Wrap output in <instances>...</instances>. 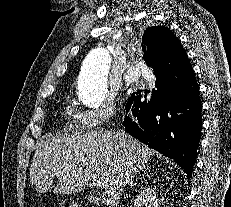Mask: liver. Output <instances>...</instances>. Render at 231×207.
I'll list each match as a JSON object with an SVG mask.
<instances>
[{
  "label": "liver",
  "mask_w": 231,
  "mask_h": 207,
  "mask_svg": "<svg viewBox=\"0 0 231 207\" xmlns=\"http://www.w3.org/2000/svg\"><path fill=\"white\" fill-rule=\"evenodd\" d=\"M154 154L124 130L51 134L38 144L30 182L39 193L53 188L55 194H74L85 189L89 180L98 181L103 202L116 207L126 184Z\"/></svg>",
  "instance_id": "obj_1"
}]
</instances>
